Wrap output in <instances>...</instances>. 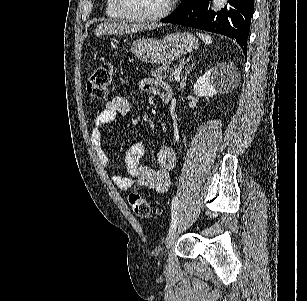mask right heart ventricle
<instances>
[{"label": "right heart ventricle", "instance_id": "right-heart-ventricle-1", "mask_svg": "<svg viewBox=\"0 0 307 301\" xmlns=\"http://www.w3.org/2000/svg\"><path fill=\"white\" fill-rule=\"evenodd\" d=\"M109 2V7L110 5H112V1H108ZM108 17H121V10H108Z\"/></svg>", "mask_w": 307, "mask_h": 301}]
</instances>
